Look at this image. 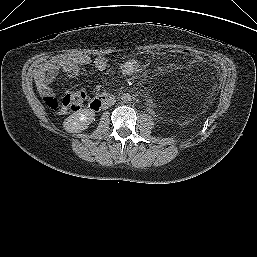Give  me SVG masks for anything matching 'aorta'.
<instances>
[{
  "instance_id": "762f6f07",
  "label": "aorta",
  "mask_w": 257,
  "mask_h": 257,
  "mask_svg": "<svg viewBox=\"0 0 257 257\" xmlns=\"http://www.w3.org/2000/svg\"><path fill=\"white\" fill-rule=\"evenodd\" d=\"M121 99L124 103H129L132 101V96L129 93H124L122 94Z\"/></svg>"
}]
</instances>
